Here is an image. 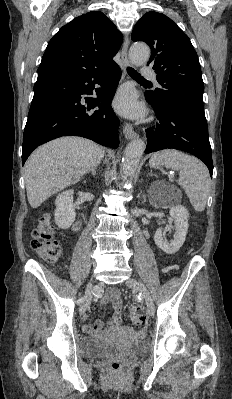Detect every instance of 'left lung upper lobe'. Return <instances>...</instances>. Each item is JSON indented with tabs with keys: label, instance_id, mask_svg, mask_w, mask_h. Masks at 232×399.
<instances>
[{
	"label": "left lung upper lobe",
	"instance_id": "5c2ea615",
	"mask_svg": "<svg viewBox=\"0 0 232 399\" xmlns=\"http://www.w3.org/2000/svg\"><path fill=\"white\" fill-rule=\"evenodd\" d=\"M132 40L151 48L150 65L161 88L145 95L154 103L181 110L207 127L203 107L204 83L196 51L188 36L164 14L147 12L135 25Z\"/></svg>",
	"mask_w": 232,
	"mask_h": 399
}]
</instances>
